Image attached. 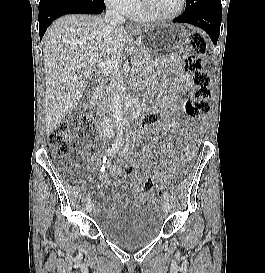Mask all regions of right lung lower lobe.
Segmentation results:
<instances>
[{"instance_id": "98d812e1", "label": "right lung lower lobe", "mask_w": 265, "mask_h": 273, "mask_svg": "<svg viewBox=\"0 0 265 273\" xmlns=\"http://www.w3.org/2000/svg\"><path fill=\"white\" fill-rule=\"evenodd\" d=\"M105 6L95 1L80 2L77 0H40L39 33L42 39L48 26L58 17L66 14H99Z\"/></svg>"}]
</instances>
